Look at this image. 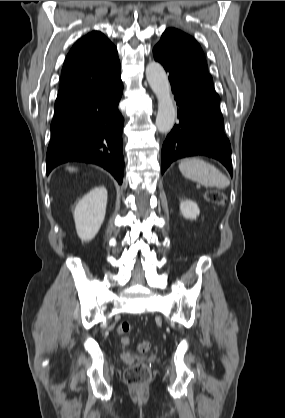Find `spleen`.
<instances>
[{"instance_id":"spleen-1","label":"spleen","mask_w":285,"mask_h":418,"mask_svg":"<svg viewBox=\"0 0 285 418\" xmlns=\"http://www.w3.org/2000/svg\"><path fill=\"white\" fill-rule=\"evenodd\" d=\"M183 176L206 187L224 189L229 186V179L215 166L199 158H186L179 163Z\"/></svg>"}]
</instances>
